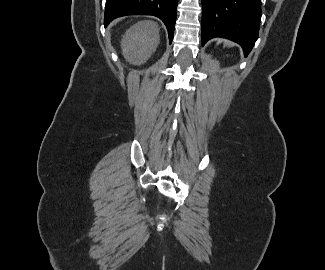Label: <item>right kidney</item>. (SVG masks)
Instances as JSON below:
<instances>
[{
	"mask_svg": "<svg viewBox=\"0 0 325 270\" xmlns=\"http://www.w3.org/2000/svg\"><path fill=\"white\" fill-rule=\"evenodd\" d=\"M160 41L156 23L141 21L127 30L121 41L124 58L134 64L145 63L155 52Z\"/></svg>",
	"mask_w": 325,
	"mask_h": 270,
	"instance_id": "ca27d5eb",
	"label": "right kidney"
}]
</instances>
